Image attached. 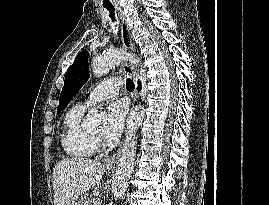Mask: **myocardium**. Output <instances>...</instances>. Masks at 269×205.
Returning <instances> with one entry per match:
<instances>
[{
    "mask_svg": "<svg viewBox=\"0 0 269 205\" xmlns=\"http://www.w3.org/2000/svg\"><path fill=\"white\" fill-rule=\"evenodd\" d=\"M92 138H93L95 144L98 143V145L101 149L106 148V146L104 144H101V139L98 135L92 134Z\"/></svg>",
    "mask_w": 269,
    "mask_h": 205,
    "instance_id": "myocardium-1",
    "label": "myocardium"
}]
</instances>
